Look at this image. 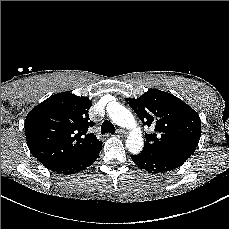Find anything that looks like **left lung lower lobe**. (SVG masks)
<instances>
[{"mask_svg": "<svg viewBox=\"0 0 229 229\" xmlns=\"http://www.w3.org/2000/svg\"><path fill=\"white\" fill-rule=\"evenodd\" d=\"M131 158L137 166L155 174L176 169L183 165V163L188 159L181 156L166 157L146 155L143 153L131 155Z\"/></svg>", "mask_w": 229, "mask_h": 229, "instance_id": "left-lung-lower-lobe-1", "label": "left lung lower lobe"}]
</instances>
